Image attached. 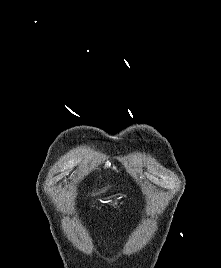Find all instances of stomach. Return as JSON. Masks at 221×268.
<instances>
[{
  "label": "stomach",
  "instance_id": "stomach-1",
  "mask_svg": "<svg viewBox=\"0 0 221 268\" xmlns=\"http://www.w3.org/2000/svg\"><path fill=\"white\" fill-rule=\"evenodd\" d=\"M121 197L118 196V195H113L111 198H110V202L113 204V205H117L118 202L120 201Z\"/></svg>",
  "mask_w": 221,
  "mask_h": 268
}]
</instances>
